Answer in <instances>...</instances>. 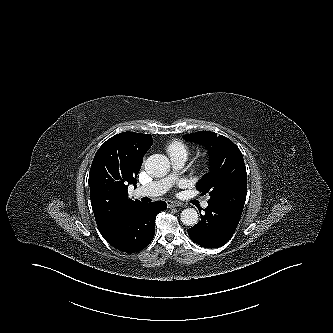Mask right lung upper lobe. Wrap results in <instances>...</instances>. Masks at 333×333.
Masks as SVG:
<instances>
[{"mask_svg": "<svg viewBox=\"0 0 333 333\" xmlns=\"http://www.w3.org/2000/svg\"><path fill=\"white\" fill-rule=\"evenodd\" d=\"M153 144L149 134L124 132L108 139L97 151L89 173L91 205L104 239L114 230L123 212L139 202L128 198L136 186L144 154Z\"/></svg>", "mask_w": 333, "mask_h": 333, "instance_id": "1", "label": "right lung upper lobe"}]
</instances>
